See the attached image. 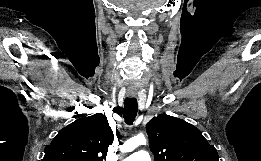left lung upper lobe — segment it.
<instances>
[{
    "instance_id": "5c2ea615",
    "label": "left lung upper lobe",
    "mask_w": 261,
    "mask_h": 161,
    "mask_svg": "<svg viewBox=\"0 0 261 161\" xmlns=\"http://www.w3.org/2000/svg\"><path fill=\"white\" fill-rule=\"evenodd\" d=\"M154 161H219L217 151L190 123L166 114L146 126Z\"/></svg>"
}]
</instances>
